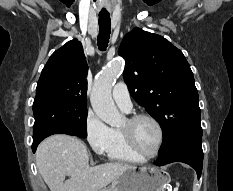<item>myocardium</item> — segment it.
<instances>
[{"label":"myocardium","instance_id":"1","mask_svg":"<svg viewBox=\"0 0 233 191\" xmlns=\"http://www.w3.org/2000/svg\"><path fill=\"white\" fill-rule=\"evenodd\" d=\"M146 119L151 121L157 128L158 131V144L155 152L151 155L144 154L136 144L134 135H133V126L140 120ZM128 126L127 128L121 129V132L124 136V139L129 146V148L139 157L144 160H150L158 156L161 151L163 141H164V131L160 122L152 115L147 113L135 114L127 119Z\"/></svg>","mask_w":233,"mask_h":191}]
</instances>
